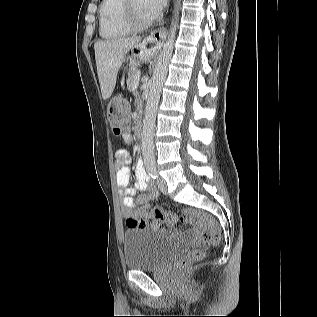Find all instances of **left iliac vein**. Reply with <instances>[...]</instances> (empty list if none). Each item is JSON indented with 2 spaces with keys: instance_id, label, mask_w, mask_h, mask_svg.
Masks as SVG:
<instances>
[{
  "instance_id": "1",
  "label": "left iliac vein",
  "mask_w": 317,
  "mask_h": 317,
  "mask_svg": "<svg viewBox=\"0 0 317 317\" xmlns=\"http://www.w3.org/2000/svg\"><path fill=\"white\" fill-rule=\"evenodd\" d=\"M157 185L159 190L163 193V194H167V185L166 182L163 178L159 177L157 179Z\"/></svg>"
}]
</instances>
